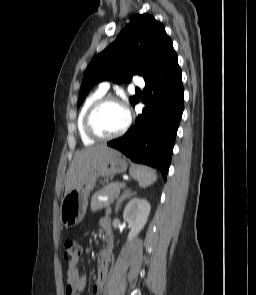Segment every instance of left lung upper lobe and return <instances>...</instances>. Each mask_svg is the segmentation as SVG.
I'll use <instances>...</instances> for the list:
<instances>
[{"label": "left lung upper lobe", "mask_w": 256, "mask_h": 295, "mask_svg": "<svg viewBox=\"0 0 256 295\" xmlns=\"http://www.w3.org/2000/svg\"><path fill=\"white\" fill-rule=\"evenodd\" d=\"M176 62L177 55L164 26L148 14H136L117 39L96 55L87 67L77 106L99 81L129 82L135 74L149 80ZM138 100L136 96L130 98L132 105Z\"/></svg>", "instance_id": "obj_1"}]
</instances>
